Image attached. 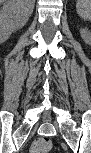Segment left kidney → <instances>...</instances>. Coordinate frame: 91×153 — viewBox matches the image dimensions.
Wrapping results in <instances>:
<instances>
[{
  "mask_svg": "<svg viewBox=\"0 0 91 153\" xmlns=\"http://www.w3.org/2000/svg\"><path fill=\"white\" fill-rule=\"evenodd\" d=\"M80 34H81V37L83 38V40L86 42V43H90V40H91V34H90V31L88 28H84V29H81L80 31Z\"/></svg>",
  "mask_w": 91,
  "mask_h": 153,
  "instance_id": "obj_1",
  "label": "left kidney"
}]
</instances>
